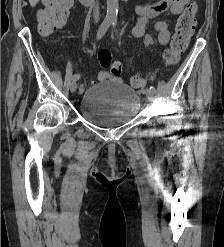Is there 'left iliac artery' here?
Masks as SVG:
<instances>
[{
	"mask_svg": "<svg viewBox=\"0 0 224 247\" xmlns=\"http://www.w3.org/2000/svg\"><path fill=\"white\" fill-rule=\"evenodd\" d=\"M112 25H113V27H115V25H116V19H113L112 20ZM150 90H152L154 93H156V89H155L154 86H150Z\"/></svg>",
	"mask_w": 224,
	"mask_h": 247,
	"instance_id": "obj_1",
	"label": "left iliac artery"
}]
</instances>
